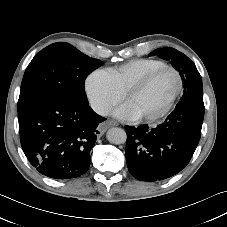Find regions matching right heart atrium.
Returning <instances> with one entry per match:
<instances>
[{
	"mask_svg": "<svg viewBox=\"0 0 227 227\" xmlns=\"http://www.w3.org/2000/svg\"><path fill=\"white\" fill-rule=\"evenodd\" d=\"M84 88L92 107L102 115L107 114L122 95L104 69L90 73L85 79Z\"/></svg>",
	"mask_w": 227,
	"mask_h": 227,
	"instance_id": "1",
	"label": "right heart atrium"
}]
</instances>
